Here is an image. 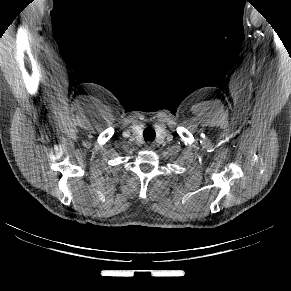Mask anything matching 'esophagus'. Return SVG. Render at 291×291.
<instances>
[{
  "label": "esophagus",
  "instance_id": "34e87169",
  "mask_svg": "<svg viewBox=\"0 0 291 291\" xmlns=\"http://www.w3.org/2000/svg\"><path fill=\"white\" fill-rule=\"evenodd\" d=\"M145 147H146V149L151 150V149L154 148V145H153L152 143H147V144L145 145Z\"/></svg>",
  "mask_w": 291,
  "mask_h": 291
}]
</instances>
